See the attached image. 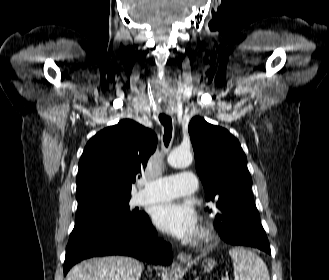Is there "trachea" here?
Listing matches in <instances>:
<instances>
[{
	"label": "trachea",
	"instance_id": "obj_1",
	"mask_svg": "<svg viewBox=\"0 0 329 280\" xmlns=\"http://www.w3.org/2000/svg\"><path fill=\"white\" fill-rule=\"evenodd\" d=\"M159 120L164 127L163 141L165 146L168 147L172 137V119L168 115L160 114Z\"/></svg>",
	"mask_w": 329,
	"mask_h": 280
}]
</instances>
